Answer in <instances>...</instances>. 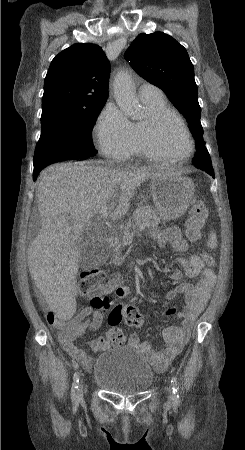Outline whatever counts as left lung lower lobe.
Instances as JSON below:
<instances>
[{
  "mask_svg": "<svg viewBox=\"0 0 245 450\" xmlns=\"http://www.w3.org/2000/svg\"><path fill=\"white\" fill-rule=\"evenodd\" d=\"M196 153H198L199 154V158L201 159V160H205V158H206V155H207V153H208V151L205 149V146H202V145H196ZM202 170H205L208 174H210L213 178H214V170H213V167H209V168H205V169H202Z\"/></svg>",
  "mask_w": 245,
  "mask_h": 450,
  "instance_id": "left-lung-lower-lobe-1",
  "label": "left lung lower lobe"
}]
</instances>
